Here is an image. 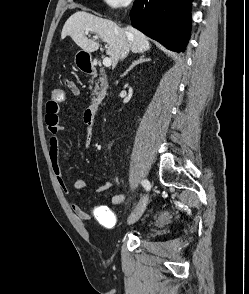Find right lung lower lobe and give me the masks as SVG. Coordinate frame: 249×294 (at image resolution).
I'll return each mask as SVG.
<instances>
[{
    "label": "right lung lower lobe",
    "instance_id": "98d812e1",
    "mask_svg": "<svg viewBox=\"0 0 249 294\" xmlns=\"http://www.w3.org/2000/svg\"><path fill=\"white\" fill-rule=\"evenodd\" d=\"M192 0H135L132 26L168 49L183 52L190 35Z\"/></svg>",
    "mask_w": 249,
    "mask_h": 294
}]
</instances>
